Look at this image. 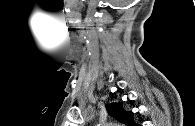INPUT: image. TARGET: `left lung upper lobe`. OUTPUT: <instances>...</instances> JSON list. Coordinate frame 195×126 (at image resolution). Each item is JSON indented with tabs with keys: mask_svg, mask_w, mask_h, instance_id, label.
I'll return each mask as SVG.
<instances>
[{
	"mask_svg": "<svg viewBox=\"0 0 195 126\" xmlns=\"http://www.w3.org/2000/svg\"><path fill=\"white\" fill-rule=\"evenodd\" d=\"M110 116L127 126L137 125L133 120V112H127L123 109L122 103H111L106 105Z\"/></svg>",
	"mask_w": 195,
	"mask_h": 126,
	"instance_id": "1",
	"label": "left lung upper lobe"
}]
</instances>
